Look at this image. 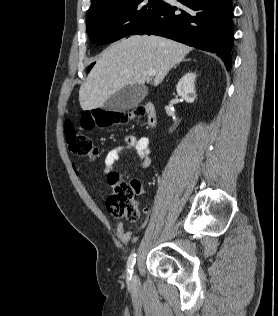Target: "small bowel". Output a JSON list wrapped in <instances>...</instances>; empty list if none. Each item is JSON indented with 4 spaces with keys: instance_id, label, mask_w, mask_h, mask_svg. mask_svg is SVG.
<instances>
[{
    "instance_id": "1",
    "label": "small bowel",
    "mask_w": 278,
    "mask_h": 316,
    "mask_svg": "<svg viewBox=\"0 0 278 316\" xmlns=\"http://www.w3.org/2000/svg\"><path fill=\"white\" fill-rule=\"evenodd\" d=\"M130 151L136 152L140 167L146 168L151 164V147L149 138L147 136H129L126 138L124 143L113 147L106 154L104 158L105 172L108 174L113 173L116 168V163ZM74 171L79 173L80 170L77 166H74ZM116 235L121 242L125 244L129 243L131 240V230L127 229L122 222H120L116 228Z\"/></svg>"
}]
</instances>
